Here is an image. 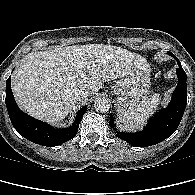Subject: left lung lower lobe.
<instances>
[{"label": "left lung lower lobe", "instance_id": "obj_1", "mask_svg": "<svg viewBox=\"0 0 195 195\" xmlns=\"http://www.w3.org/2000/svg\"><path fill=\"white\" fill-rule=\"evenodd\" d=\"M168 54L176 58L179 66L176 69L178 84L173 92L170 104L155 114L143 131L136 133L116 131L117 136L120 139H123L136 147H148L165 140L176 131L185 111L187 104L186 73L177 57H175L172 53L168 52ZM109 125L112 128L115 127L113 116H110Z\"/></svg>", "mask_w": 195, "mask_h": 195}]
</instances>
